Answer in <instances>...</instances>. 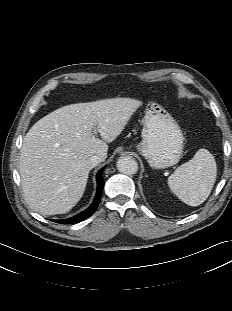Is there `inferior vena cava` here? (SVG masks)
Wrapping results in <instances>:
<instances>
[{
  "label": "inferior vena cava",
  "instance_id": "obj_1",
  "mask_svg": "<svg viewBox=\"0 0 232 311\" xmlns=\"http://www.w3.org/2000/svg\"><path fill=\"white\" fill-rule=\"evenodd\" d=\"M104 161V158L100 155H93L86 161V167L90 170L97 166L100 162Z\"/></svg>",
  "mask_w": 232,
  "mask_h": 311
}]
</instances>
